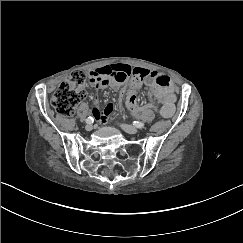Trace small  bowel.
<instances>
[{
	"mask_svg": "<svg viewBox=\"0 0 243 243\" xmlns=\"http://www.w3.org/2000/svg\"><path fill=\"white\" fill-rule=\"evenodd\" d=\"M140 71L144 73V82L150 86L149 97L157 100L159 105L152 103L156 107L159 114L169 118L174 114V102L176 99L174 87L169 77L158 72L150 71L143 68H131L126 64H113L97 68L89 72V82L96 88H104L111 86L118 88L133 73ZM95 106L92 109L94 117L104 122L107 116L111 115L115 107L112 103L107 104L103 109L97 106V98H94Z\"/></svg>",
	"mask_w": 243,
	"mask_h": 243,
	"instance_id": "small-bowel-1",
	"label": "small bowel"
}]
</instances>
